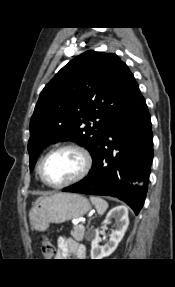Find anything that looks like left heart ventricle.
Here are the masks:
<instances>
[{"mask_svg":"<svg viewBox=\"0 0 175 287\" xmlns=\"http://www.w3.org/2000/svg\"><path fill=\"white\" fill-rule=\"evenodd\" d=\"M82 166V157L76 151H57L48 158L45 164V177L53 184H60L75 177L81 171Z\"/></svg>","mask_w":175,"mask_h":287,"instance_id":"b2bd125f","label":"left heart ventricle"}]
</instances>
